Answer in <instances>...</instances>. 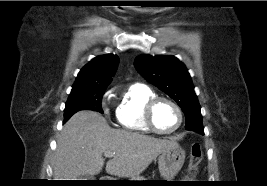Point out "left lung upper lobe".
<instances>
[{
	"label": "left lung upper lobe",
	"mask_w": 267,
	"mask_h": 186,
	"mask_svg": "<svg viewBox=\"0 0 267 186\" xmlns=\"http://www.w3.org/2000/svg\"><path fill=\"white\" fill-rule=\"evenodd\" d=\"M134 63L147 81L169 95L181 107L186 117V129L204 134L200 105L185 65L171 55L148 54L137 56Z\"/></svg>",
	"instance_id": "left-lung-upper-lobe-1"
}]
</instances>
